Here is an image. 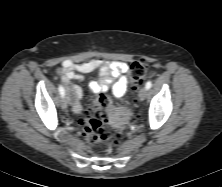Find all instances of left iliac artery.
Returning <instances> with one entry per match:
<instances>
[{"label": "left iliac artery", "instance_id": "left-iliac-artery-1", "mask_svg": "<svg viewBox=\"0 0 222 187\" xmlns=\"http://www.w3.org/2000/svg\"><path fill=\"white\" fill-rule=\"evenodd\" d=\"M145 87H146L147 89H150V88L152 87V82H151V81H148V82L146 83Z\"/></svg>", "mask_w": 222, "mask_h": 187}]
</instances>
